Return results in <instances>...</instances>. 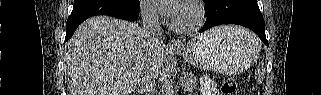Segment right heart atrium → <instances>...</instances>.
<instances>
[{
  "label": "right heart atrium",
  "mask_w": 321,
  "mask_h": 95,
  "mask_svg": "<svg viewBox=\"0 0 321 95\" xmlns=\"http://www.w3.org/2000/svg\"><path fill=\"white\" fill-rule=\"evenodd\" d=\"M142 14L148 21H156L158 19L157 10L147 1L142 4Z\"/></svg>",
  "instance_id": "d8ad5b80"
}]
</instances>
